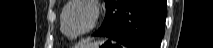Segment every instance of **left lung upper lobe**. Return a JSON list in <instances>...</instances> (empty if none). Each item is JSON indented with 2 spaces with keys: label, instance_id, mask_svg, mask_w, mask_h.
Returning a JSON list of instances; mask_svg holds the SVG:
<instances>
[{
  "label": "left lung upper lobe",
  "instance_id": "left-lung-upper-lobe-1",
  "mask_svg": "<svg viewBox=\"0 0 213 48\" xmlns=\"http://www.w3.org/2000/svg\"><path fill=\"white\" fill-rule=\"evenodd\" d=\"M109 1H110V0H105V2H106V6H107V4L109 3Z\"/></svg>",
  "mask_w": 213,
  "mask_h": 48
}]
</instances>
